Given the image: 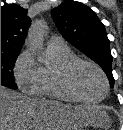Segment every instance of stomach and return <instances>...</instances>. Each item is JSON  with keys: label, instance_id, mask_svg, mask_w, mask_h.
<instances>
[{"label": "stomach", "instance_id": "1", "mask_svg": "<svg viewBox=\"0 0 123 130\" xmlns=\"http://www.w3.org/2000/svg\"><path fill=\"white\" fill-rule=\"evenodd\" d=\"M84 128H85V126H76V127L72 128L71 130H85Z\"/></svg>", "mask_w": 123, "mask_h": 130}]
</instances>
